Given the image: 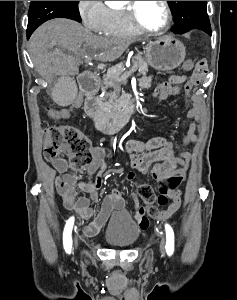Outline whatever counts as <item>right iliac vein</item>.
<instances>
[{
  "label": "right iliac vein",
  "mask_w": 237,
  "mask_h": 300,
  "mask_svg": "<svg viewBox=\"0 0 237 300\" xmlns=\"http://www.w3.org/2000/svg\"><path fill=\"white\" fill-rule=\"evenodd\" d=\"M77 243V239H75V244Z\"/></svg>",
  "instance_id": "obj_1"
}]
</instances>
